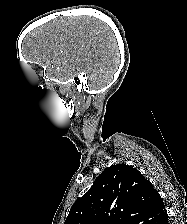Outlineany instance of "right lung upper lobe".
Returning <instances> with one entry per match:
<instances>
[{
	"label": "right lung upper lobe",
	"instance_id": "right-lung-upper-lobe-1",
	"mask_svg": "<svg viewBox=\"0 0 187 224\" xmlns=\"http://www.w3.org/2000/svg\"><path fill=\"white\" fill-rule=\"evenodd\" d=\"M165 213L152 183L137 169L117 164L72 205L64 224H153Z\"/></svg>",
	"mask_w": 187,
	"mask_h": 224
}]
</instances>
